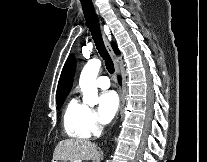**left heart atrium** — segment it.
<instances>
[{"instance_id": "obj_1", "label": "left heart atrium", "mask_w": 207, "mask_h": 162, "mask_svg": "<svg viewBox=\"0 0 207 162\" xmlns=\"http://www.w3.org/2000/svg\"><path fill=\"white\" fill-rule=\"evenodd\" d=\"M119 103V97L114 91H107L100 96L99 117L102 123H108L113 119Z\"/></svg>"}]
</instances>
